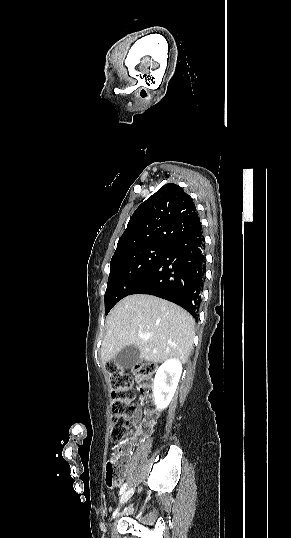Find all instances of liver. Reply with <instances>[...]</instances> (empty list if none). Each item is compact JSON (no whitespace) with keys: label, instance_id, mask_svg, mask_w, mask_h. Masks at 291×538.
<instances>
[{"label":"liver","instance_id":"6515ba94","mask_svg":"<svg viewBox=\"0 0 291 538\" xmlns=\"http://www.w3.org/2000/svg\"><path fill=\"white\" fill-rule=\"evenodd\" d=\"M194 326L193 317L176 304L147 294L128 296L107 316L102 363L131 345L139 348L142 360L160 363L174 357L185 363L193 346ZM140 333L148 338L139 337Z\"/></svg>","mask_w":291,"mask_h":538}]
</instances>
